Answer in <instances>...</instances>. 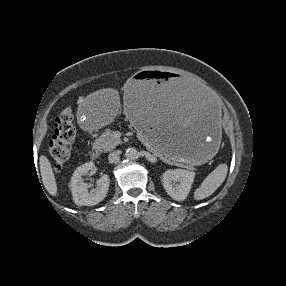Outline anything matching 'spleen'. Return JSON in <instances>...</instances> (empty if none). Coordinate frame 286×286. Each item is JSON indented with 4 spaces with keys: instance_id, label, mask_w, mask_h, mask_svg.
Masks as SVG:
<instances>
[{
    "instance_id": "1",
    "label": "spleen",
    "mask_w": 286,
    "mask_h": 286,
    "mask_svg": "<svg viewBox=\"0 0 286 286\" xmlns=\"http://www.w3.org/2000/svg\"><path fill=\"white\" fill-rule=\"evenodd\" d=\"M228 172L226 164L218 165L194 192L195 200H202L212 195L224 182Z\"/></svg>"
}]
</instances>
